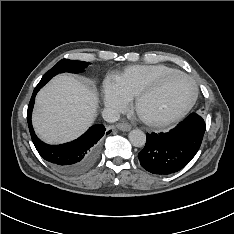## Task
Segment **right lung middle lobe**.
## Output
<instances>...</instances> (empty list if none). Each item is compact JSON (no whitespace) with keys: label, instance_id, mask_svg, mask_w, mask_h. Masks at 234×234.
<instances>
[{"label":"right lung middle lobe","instance_id":"1","mask_svg":"<svg viewBox=\"0 0 234 234\" xmlns=\"http://www.w3.org/2000/svg\"><path fill=\"white\" fill-rule=\"evenodd\" d=\"M89 65V62L84 61H74L68 59L60 60L53 68H51L45 75L42 77L38 85L44 86L53 76L58 73L70 72V73H79L83 72L84 69Z\"/></svg>","mask_w":234,"mask_h":234}]
</instances>
